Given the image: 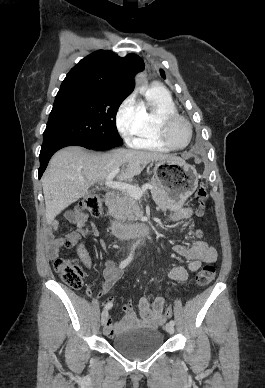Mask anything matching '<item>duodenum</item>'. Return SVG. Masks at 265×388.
I'll return each instance as SVG.
<instances>
[{"mask_svg":"<svg viewBox=\"0 0 265 388\" xmlns=\"http://www.w3.org/2000/svg\"><path fill=\"white\" fill-rule=\"evenodd\" d=\"M116 200V193L108 192L106 194L105 202L109 208H112L115 205ZM152 230V225L145 222L122 223L116 220L111 222V231L113 235L119 238L140 237L151 233Z\"/></svg>","mask_w":265,"mask_h":388,"instance_id":"obj_1","label":"duodenum"}]
</instances>
